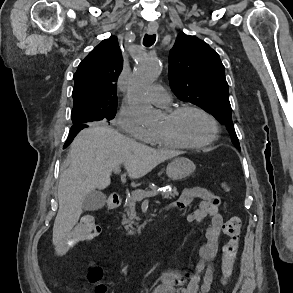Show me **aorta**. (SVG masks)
Wrapping results in <instances>:
<instances>
[{
  "mask_svg": "<svg viewBox=\"0 0 293 293\" xmlns=\"http://www.w3.org/2000/svg\"><path fill=\"white\" fill-rule=\"evenodd\" d=\"M160 70V60L155 56L147 55L139 60L128 86L132 111L137 119L147 126L154 125L157 122L155 112L146 100V94L158 78Z\"/></svg>",
  "mask_w": 293,
  "mask_h": 293,
  "instance_id": "762f6f07",
  "label": "aorta"
}]
</instances>
